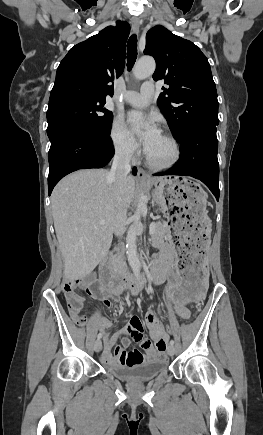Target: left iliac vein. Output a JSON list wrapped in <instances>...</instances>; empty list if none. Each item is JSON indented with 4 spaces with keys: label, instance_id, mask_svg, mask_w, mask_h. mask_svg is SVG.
Masks as SVG:
<instances>
[{
    "label": "left iliac vein",
    "instance_id": "obj_1",
    "mask_svg": "<svg viewBox=\"0 0 263 435\" xmlns=\"http://www.w3.org/2000/svg\"><path fill=\"white\" fill-rule=\"evenodd\" d=\"M167 352L171 356L174 355V353H175V347L173 345H169L168 348H167Z\"/></svg>",
    "mask_w": 263,
    "mask_h": 435
}]
</instances>
